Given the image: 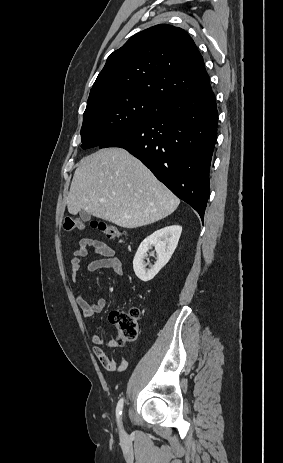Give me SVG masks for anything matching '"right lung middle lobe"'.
Returning <instances> with one entry per match:
<instances>
[{
	"mask_svg": "<svg viewBox=\"0 0 283 463\" xmlns=\"http://www.w3.org/2000/svg\"><path fill=\"white\" fill-rule=\"evenodd\" d=\"M160 104L129 92H114L87 102L81 128L82 148L99 146L145 120Z\"/></svg>",
	"mask_w": 283,
	"mask_h": 463,
	"instance_id": "dd1d6c3e",
	"label": "right lung middle lobe"
}]
</instances>
